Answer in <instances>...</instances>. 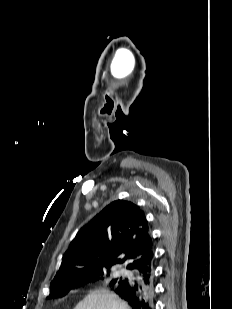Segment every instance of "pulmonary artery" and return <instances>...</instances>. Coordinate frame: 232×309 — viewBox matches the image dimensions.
Returning a JSON list of instances; mask_svg holds the SVG:
<instances>
[{
  "label": "pulmonary artery",
  "instance_id": "1",
  "mask_svg": "<svg viewBox=\"0 0 232 309\" xmlns=\"http://www.w3.org/2000/svg\"><path fill=\"white\" fill-rule=\"evenodd\" d=\"M121 272H125V270H124V269H122V270H121Z\"/></svg>",
  "mask_w": 232,
  "mask_h": 309
}]
</instances>
